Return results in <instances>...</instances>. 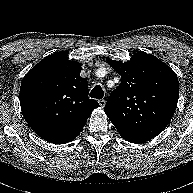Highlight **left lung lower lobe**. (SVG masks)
I'll list each match as a JSON object with an SVG mask.
<instances>
[{
	"mask_svg": "<svg viewBox=\"0 0 193 193\" xmlns=\"http://www.w3.org/2000/svg\"><path fill=\"white\" fill-rule=\"evenodd\" d=\"M124 139L128 142H131V143L140 144V143H144L146 141H149L152 138H148V137H128V138H124Z\"/></svg>",
	"mask_w": 193,
	"mask_h": 193,
	"instance_id": "1",
	"label": "left lung lower lobe"
}]
</instances>
